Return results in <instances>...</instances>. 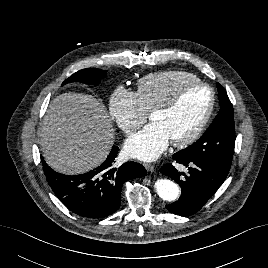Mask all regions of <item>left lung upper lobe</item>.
Wrapping results in <instances>:
<instances>
[{
	"instance_id": "1",
	"label": "left lung upper lobe",
	"mask_w": 268,
	"mask_h": 268,
	"mask_svg": "<svg viewBox=\"0 0 268 268\" xmlns=\"http://www.w3.org/2000/svg\"><path fill=\"white\" fill-rule=\"evenodd\" d=\"M220 111L200 139L175 155L183 159L216 162L230 169L235 144L233 107L224 88L218 84Z\"/></svg>"
}]
</instances>
